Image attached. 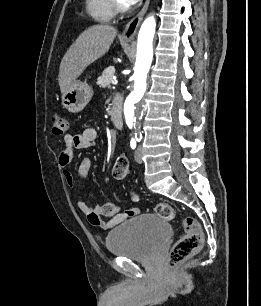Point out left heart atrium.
<instances>
[{
	"instance_id": "left-heart-atrium-1",
	"label": "left heart atrium",
	"mask_w": 261,
	"mask_h": 306,
	"mask_svg": "<svg viewBox=\"0 0 261 306\" xmlns=\"http://www.w3.org/2000/svg\"><path fill=\"white\" fill-rule=\"evenodd\" d=\"M139 0H122L125 5H133L137 3Z\"/></svg>"
}]
</instances>
